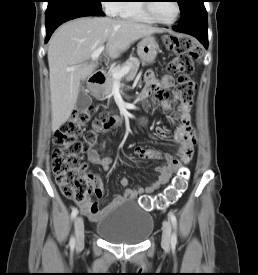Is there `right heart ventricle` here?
<instances>
[{
	"label": "right heart ventricle",
	"mask_w": 258,
	"mask_h": 275,
	"mask_svg": "<svg viewBox=\"0 0 258 275\" xmlns=\"http://www.w3.org/2000/svg\"><path fill=\"white\" fill-rule=\"evenodd\" d=\"M120 2V1H118ZM143 0H125L118 3L114 15L143 23H154L143 8Z\"/></svg>",
	"instance_id": "right-heart-ventricle-1"
}]
</instances>
